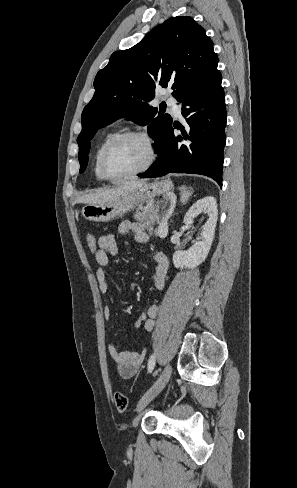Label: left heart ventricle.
Here are the masks:
<instances>
[{
  "label": "left heart ventricle",
  "mask_w": 297,
  "mask_h": 488,
  "mask_svg": "<svg viewBox=\"0 0 297 488\" xmlns=\"http://www.w3.org/2000/svg\"><path fill=\"white\" fill-rule=\"evenodd\" d=\"M147 158L146 143L139 138H130L110 151L106 159V169L110 175H123L141 167Z\"/></svg>",
  "instance_id": "b2bd125f"
}]
</instances>
